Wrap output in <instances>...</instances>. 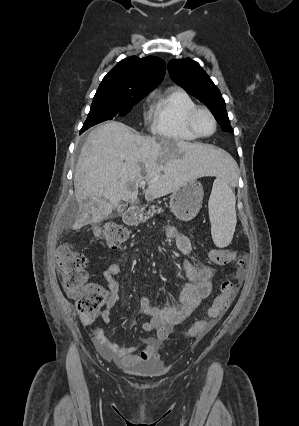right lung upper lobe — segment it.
<instances>
[{"mask_svg": "<svg viewBox=\"0 0 299 426\" xmlns=\"http://www.w3.org/2000/svg\"><path fill=\"white\" fill-rule=\"evenodd\" d=\"M166 71L165 62L155 56H132L119 62L102 80L101 89L124 95H136L157 87Z\"/></svg>", "mask_w": 299, "mask_h": 426, "instance_id": "1", "label": "right lung upper lobe"}]
</instances>
